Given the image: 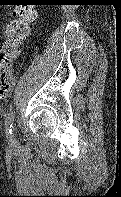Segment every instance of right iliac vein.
<instances>
[{
    "label": "right iliac vein",
    "instance_id": "1",
    "mask_svg": "<svg viewBox=\"0 0 121 197\" xmlns=\"http://www.w3.org/2000/svg\"><path fill=\"white\" fill-rule=\"evenodd\" d=\"M9 144H10V146H15L17 144V141H16L14 135L9 136Z\"/></svg>",
    "mask_w": 121,
    "mask_h": 197
}]
</instances>
